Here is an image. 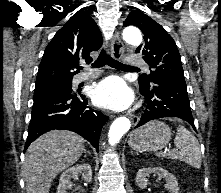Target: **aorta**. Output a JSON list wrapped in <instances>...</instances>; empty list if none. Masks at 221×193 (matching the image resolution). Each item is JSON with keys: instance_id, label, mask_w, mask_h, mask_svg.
<instances>
[{"instance_id": "aorta-1", "label": "aorta", "mask_w": 221, "mask_h": 193, "mask_svg": "<svg viewBox=\"0 0 221 193\" xmlns=\"http://www.w3.org/2000/svg\"><path fill=\"white\" fill-rule=\"evenodd\" d=\"M123 38L131 45H139L142 42V35L135 27H127L123 32ZM130 127L131 121L127 117L117 118L109 129V143L111 145L118 143L122 136L130 129Z\"/></svg>"}]
</instances>
